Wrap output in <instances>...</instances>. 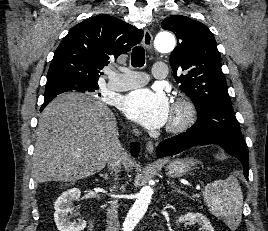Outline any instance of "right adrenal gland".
<instances>
[{
    "instance_id": "2a0ac1e0",
    "label": "right adrenal gland",
    "mask_w": 268,
    "mask_h": 231,
    "mask_svg": "<svg viewBox=\"0 0 268 231\" xmlns=\"http://www.w3.org/2000/svg\"><path fill=\"white\" fill-rule=\"evenodd\" d=\"M100 177L104 178L105 180H108L109 179V177H108L107 174H100Z\"/></svg>"
}]
</instances>
